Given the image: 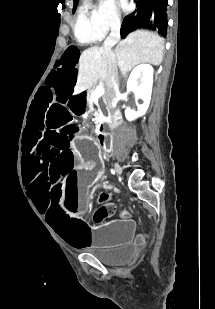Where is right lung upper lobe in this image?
Wrapping results in <instances>:
<instances>
[{"mask_svg": "<svg viewBox=\"0 0 215 309\" xmlns=\"http://www.w3.org/2000/svg\"><path fill=\"white\" fill-rule=\"evenodd\" d=\"M78 2V0H74V3H77Z\"/></svg>", "mask_w": 215, "mask_h": 309, "instance_id": "1", "label": "right lung upper lobe"}]
</instances>
